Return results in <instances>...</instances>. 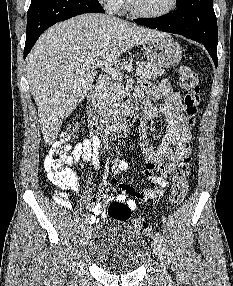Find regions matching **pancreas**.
I'll return each instance as SVG.
<instances>
[{"instance_id": "pancreas-1", "label": "pancreas", "mask_w": 233, "mask_h": 286, "mask_svg": "<svg viewBox=\"0 0 233 286\" xmlns=\"http://www.w3.org/2000/svg\"><path fill=\"white\" fill-rule=\"evenodd\" d=\"M138 68L142 70L140 78L142 80H152L165 74V70L161 67L152 65L151 63H139ZM122 81L121 79H113L109 82L107 100L111 107H115L117 102L122 99Z\"/></svg>"}]
</instances>
